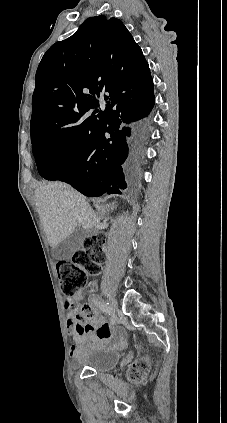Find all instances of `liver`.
Instances as JSON below:
<instances>
[{"instance_id":"obj_1","label":"liver","mask_w":227,"mask_h":423,"mask_svg":"<svg viewBox=\"0 0 227 423\" xmlns=\"http://www.w3.org/2000/svg\"><path fill=\"white\" fill-rule=\"evenodd\" d=\"M34 202L52 247L69 237L78 223H82L87 231L100 223L101 215L95 213L87 198L69 184H39L34 192Z\"/></svg>"}]
</instances>
